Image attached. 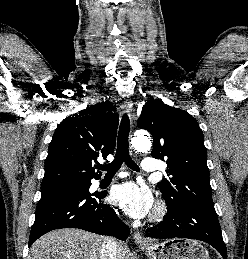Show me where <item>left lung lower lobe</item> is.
<instances>
[{"label": "left lung lower lobe", "mask_w": 248, "mask_h": 259, "mask_svg": "<svg viewBox=\"0 0 248 259\" xmlns=\"http://www.w3.org/2000/svg\"><path fill=\"white\" fill-rule=\"evenodd\" d=\"M152 238H190L213 246L227 259L218 217L213 206H193L171 209L163 221L146 231Z\"/></svg>", "instance_id": "0a47b994"}]
</instances>
